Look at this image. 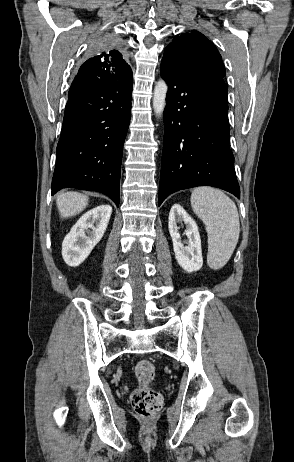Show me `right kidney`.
<instances>
[{
	"mask_svg": "<svg viewBox=\"0 0 294 462\" xmlns=\"http://www.w3.org/2000/svg\"><path fill=\"white\" fill-rule=\"evenodd\" d=\"M112 207L104 204L86 212L72 227L62 243V256L71 267L79 266L102 239Z\"/></svg>",
	"mask_w": 294,
	"mask_h": 462,
	"instance_id": "1",
	"label": "right kidney"
}]
</instances>
